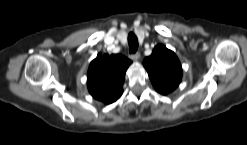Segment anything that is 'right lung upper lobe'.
Here are the masks:
<instances>
[{
    "label": "right lung upper lobe",
    "instance_id": "right-lung-upper-lobe-1",
    "mask_svg": "<svg viewBox=\"0 0 247 145\" xmlns=\"http://www.w3.org/2000/svg\"><path fill=\"white\" fill-rule=\"evenodd\" d=\"M130 64L131 61L120 54H98L88 69L90 94L105 104L116 101L123 93L122 85Z\"/></svg>",
    "mask_w": 247,
    "mask_h": 145
}]
</instances>
